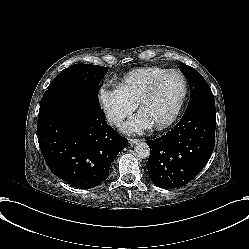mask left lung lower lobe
<instances>
[{
    "mask_svg": "<svg viewBox=\"0 0 249 249\" xmlns=\"http://www.w3.org/2000/svg\"><path fill=\"white\" fill-rule=\"evenodd\" d=\"M215 105L184 113L173 130L148 140L147 170L161 188L182 187L195 178L209 160L215 145Z\"/></svg>",
    "mask_w": 249,
    "mask_h": 249,
    "instance_id": "left-lung-lower-lobe-1",
    "label": "left lung lower lobe"
}]
</instances>
